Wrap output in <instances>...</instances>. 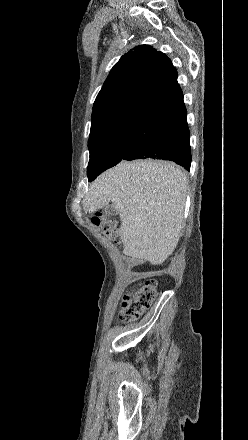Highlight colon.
Returning <instances> with one entry per match:
<instances>
[{
    "label": "colon",
    "instance_id": "5ec220e1",
    "mask_svg": "<svg viewBox=\"0 0 248 440\" xmlns=\"http://www.w3.org/2000/svg\"><path fill=\"white\" fill-rule=\"evenodd\" d=\"M92 222L106 237L115 242L119 241L117 223L115 220L108 219L102 215H96L92 218ZM157 292V282L147 280L141 287L125 295L121 304L120 319L124 323H129L140 318L151 307L157 296Z\"/></svg>",
    "mask_w": 248,
    "mask_h": 440
}]
</instances>
